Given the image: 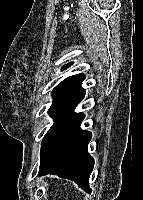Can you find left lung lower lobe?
<instances>
[{"instance_id": "1", "label": "left lung lower lobe", "mask_w": 143, "mask_h": 200, "mask_svg": "<svg viewBox=\"0 0 143 200\" xmlns=\"http://www.w3.org/2000/svg\"><path fill=\"white\" fill-rule=\"evenodd\" d=\"M84 79L85 76L79 74L73 83L54 97L49 114L55 122L41 143L39 175H58L91 192L88 181L94 159L87 146L92 134L80 128L84 114L74 112L84 97V89L80 86Z\"/></svg>"}]
</instances>
